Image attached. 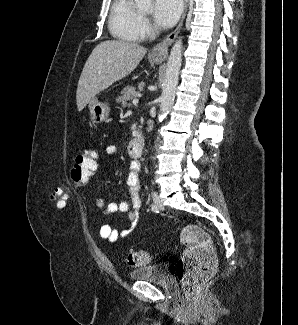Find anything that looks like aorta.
Here are the masks:
<instances>
[{"mask_svg": "<svg viewBox=\"0 0 298 325\" xmlns=\"http://www.w3.org/2000/svg\"><path fill=\"white\" fill-rule=\"evenodd\" d=\"M137 8L150 10L153 8V0H135ZM183 36H177L169 52L166 70L164 74L158 120L167 116L175 98L177 84L179 82L180 68L182 66Z\"/></svg>", "mask_w": 298, "mask_h": 325, "instance_id": "obj_1", "label": "aorta"}]
</instances>
